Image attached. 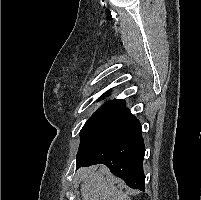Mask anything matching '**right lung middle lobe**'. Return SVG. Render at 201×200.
Masks as SVG:
<instances>
[{
  "label": "right lung middle lobe",
  "mask_w": 201,
  "mask_h": 200,
  "mask_svg": "<svg viewBox=\"0 0 201 200\" xmlns=\"http://www.w3.org/2000/svg\"><path fill=\"white\" fill-rule=\"evenodd\" d=\"M105 96H108V93H105L103 96L99 98V100L103 99ZM125 107V101L120 99H114L106 102L102 107H100L85 123L83 128L80 131V135L85 132L87 129L91 128L101 120L115 113L116 111Z\"/></svg>",
  "instance_id": "dd1d6c3e"
}]
</instances>
